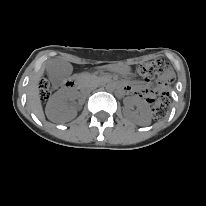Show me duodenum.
Returning <instances> with one entry per match:
<instances>
[{"label":"duodenum","instance_id":"duodenum-1","mask_svg":"<svg viewBox=\"0 0 206 206\" xmlns=\"http://www.w3.org/2000/svg\"><path fill=\"white\" fill-rule=\"evenodd\" d=\"M64 86L66 88H74V89H76V88H78V83H77L76 80L71 79V80L66 81Z\"/></svg>","mask_w":206,"mask_h":206}]
</instances>
